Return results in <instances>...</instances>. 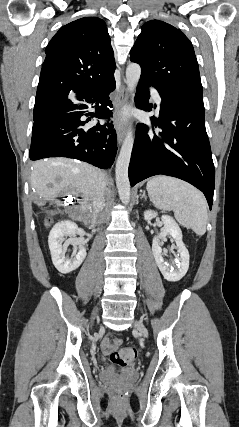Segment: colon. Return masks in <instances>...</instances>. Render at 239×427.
Listing matches in <instances>:
<instances>
[{
    "label": "colon",
    "instance_id": "obj_1",
    "mask_svg": "<svg viewBox=\"0 0 239 427\" xmlns=\"http://www.w3.org/2000/svg\"><path fill=\"white\" fill-rule=\"evenodd\" d=\"M47 221L50 222V218H48ZM137 356L138 348L135 346H131L123 347L112 352L110 355V359L115 366L119 368H126L133 364ZM125 394V389L122 386H117L113 390V396L116 400H122L125 397Z\"/></svg>",
    "mask_w": 239,
    "mask_h": 427
}]
</instances>
